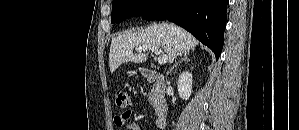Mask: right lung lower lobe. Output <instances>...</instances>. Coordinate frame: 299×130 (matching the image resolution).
Instances as JSON below:
<instances>
[{
	"label": "right lung lower lobe",
	"mask_w": 299,
	"mask_h": 130,
	"mask_svg": "<svg viewBox=\"0 0 299 130\" xmlns=\"http://www.w3.org/2000/svg\"><path fill=\"white\" fill-rule=\"evenodd\" d=\"M229 0H157L142 17L169 20L208 46L218 59L224 38Z\"/></svg>",
	"instance_id": "obj_1"
}]
</instances>
